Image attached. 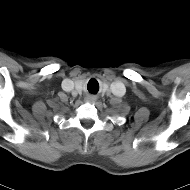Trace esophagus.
Wrapping results in <instances>:
<instances>
[{"instance_id":"esophagus-1","label":"esophagus","mask_w":190,"mask_h":190,"mask_svg":"<svg viewBox=\"0 0 190 190\" xmlns=\"http://www.w3.org/2000/svg\"><path fill=\"white\" fill-rule=\"evenodd\" d=\"M96 96L95 95H88L87 97H86V101H88V102H94V101H96Z\"/></svg>"}]
</instances>
